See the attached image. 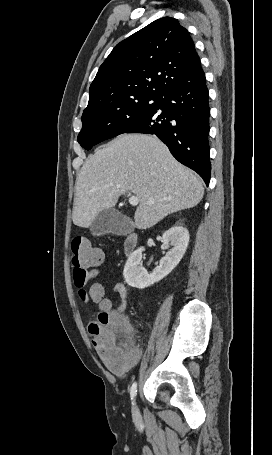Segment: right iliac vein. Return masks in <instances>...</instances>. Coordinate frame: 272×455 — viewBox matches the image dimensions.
<instances>
[{"label":"right iliac vein","instance_id":"right-iliac-vein-1","mask_svg":"<svg viewBox=\"0 0 272 455\" xmlns=\"http://www.w3.org/2000/svg\"><path fill=\"white\" fill-rule=\"evenodd\" d=\"M132 412H133V415H134V416H137V415H138V408H137L136 403L133 405Z\"/></svg>","mask_w":272,"mask_h":455}]
</instances>
